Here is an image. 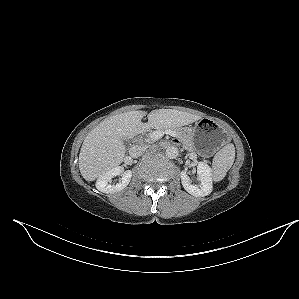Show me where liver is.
Returning <instances> with one entry per match:
<instances>
[{
  "instance_id": "obj_1",
  "label": "liver",
  "mask_w": 299,
  "mask_h": 299,
  "mask_svg": "<svg viewBox=\"0 0 299 299\" xmlns=\"http://www.w3.org/2000/svg\"><path fill=\"white\" fill-rule=\"evenodd\" d=\"M145 111H129L103 120L85 137L79 154V170L86 181H94L123 162L125 145L148 128L161 129L184 126L200 120V115L172 109L151 111L148 122H141Z\"/></svg>"
}]
</instances>
